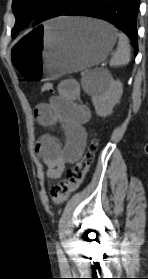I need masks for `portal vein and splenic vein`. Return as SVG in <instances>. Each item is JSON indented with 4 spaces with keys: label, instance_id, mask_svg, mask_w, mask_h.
<instances>
[{
    "label": "portal vein and splenic vein",
    "instance_id": "1",
    "mask_svg": "<svg viewBox=\"0 0 148 279\" xmlns=\"http://www.w3.org/2000/svg\"><path fill=\"white\" fill-rule=\"evenodd\" d=\"M110 58H111V55L104 61V64H106Z\"/></svg>",
    "mask_w": 148,
    "mask_h": 279
}]
</instances>
